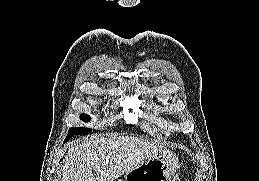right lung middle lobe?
<instances>
[{
    "instance_id": "dd1d6c3e",
    "label": "right lung middle lobe",
    "mask_w": 259,
    "mask_h": 181,
    "mask_svg": "<svg viewBox=\"0 0 259 181\" xmlns=\"http://www.w3.org/2000/svg\"><path fill=\"white\" fill-rule=\"evenodd\" d=\"M80 119L84 122H88V121H90V116H88L86 114H82L80 116ZM90 132H91V129H88L85 127H71L68 131V134H67L64 142H67L74 135H85Z\"/></svg>"
}]
</instances>
